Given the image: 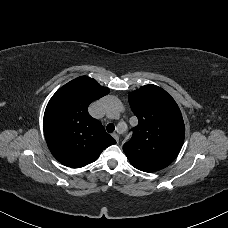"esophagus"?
Returning <instances> with one entry per match:
<instances>
[{
    "label": "esophagus",
    "mask_w": 228,
    "mask_h": 228,
    "mask_svg": "<svg viewBox=\"0 0 228 228\" xmlns=\"http://www.w3.org/2000/svg\"><path fill=\"white\" fill-rule=\"evenodd\" d=\"M112 136L115 138V140H116L117 142H119V136H118L117 133H114Z\"/></svg>",
    "instance_id": "obj_1"
}]
</instances>
